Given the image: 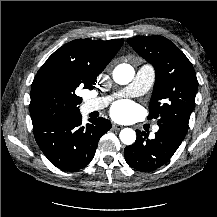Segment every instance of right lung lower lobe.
I'll return each instance as SVG.
<instances>
[{
  "label": "right lung lower lobe",
  "mask_w": 217,
  "mask_h": 217,
  "mask_svg": "<svg viewBox=\"0 0 217 217\" xmlns=\"http://www.w3.org/2000/svg\"><path fill=\"white\" fill-rule=\"evenodd\" d=\"M82 125V115L33 125L37 144L57 168L76 171L93 159L100 137L111 128L109 120L90 119Z\"/></svg>",
  "instance_id": "98d812e1"
}]
</instances>
